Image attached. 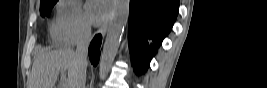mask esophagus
I'll return each instance as SVG.
<instances>
[{"label": "esophagus", "instance_id": "esophagus-1", "mask_svg": "<svg viewBox=\"0 0 267 88\" xmlns=\"http://www.w3.org/2000/svg\"><path fill=\"white\" fill-rule=\"evenodd\" d=\"M112 17H107L106 21L101 25L100 29H99V33L102 34L103 36L106 35L110 21H111Z\"/></svg>", "mask_w": 267, "mask_h": 88}]
</instances>
